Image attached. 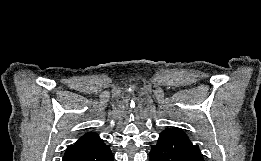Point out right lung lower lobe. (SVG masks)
Wrapping results in <instances>:
<instances>
[{
	"instance_id": "98d812e1",
	"label": "right lung lower lobe",
	"mask_w": 261,
	"mask_h": 161,
	"mask_svg": "<svg viewBox=\"0 0 261 161\" xmlns=\"http://www.w3.org/2000/svg\"><path fill=\"white\" fill-rule=\"evenodd\" d=\"M113 159L109 145L105 144L83 151L68 152L63 157V161H113Z\"/></svg>"
}]
</instances>
